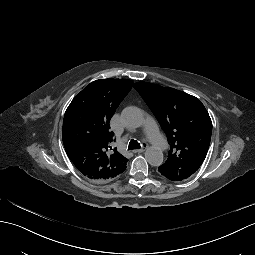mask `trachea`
Segmentation results:
<instances>
[{"label": "trachea", "instance_id": "trachea-1", "mask_svg": "<svg viewBox=\"0 0 255 255\" xmlns=\"http://www.w3.org/2000/svg\"><path fill=\"white\" fill-rule=\"evenodd\" d=\"M141 148V145L136 140H131L129 142L128 150H134Z\"/></svg>", "mask_w": 255, "mask_h": 255}]
</instances>
